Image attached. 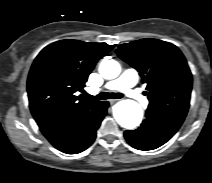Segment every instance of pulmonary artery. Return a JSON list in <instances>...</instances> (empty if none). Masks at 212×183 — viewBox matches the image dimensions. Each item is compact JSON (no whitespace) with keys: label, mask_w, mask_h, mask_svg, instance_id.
I'll use <instances>...</instances> for the list:
<instances>
[{"label":"pulmonary artery","mask_w":212,"mask_h":183,"mask_svg":"<svg viewBox=\"0 0 212 183\" xmlns=\"http://www.w3.org/2000/svg\"><path fill=\"white\" fill-rule=\"evenodd\" d=\"M140 74L134 68L126 69L117 79L106 83L101 90L103 91H121L126 96L138 101L140 104L147 106L149 101L134 87L139 81Z\"/></svg>","instance_id":"1"}]
</instances>
